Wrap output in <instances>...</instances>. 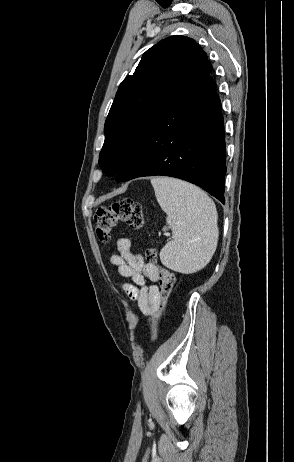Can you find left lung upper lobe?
Instances as JSON below:
<instances>
[{
  "instance_id": "obj_1",
  "label": "left lung upper lobe",
  "mask_w": 294,
  "mask_h": 462,
  "mask_svg": "<svg viewBox=\"0 0 294 462\" xmlns=\"http://www.w3.org/2000/svg\"><path fill=\"white\" fill-rule=\"evenodd\" d=\"M212 69L206 53L188 37L171 36L148 49L120 84L107 116L99 155L105 174L116 175L156 114Z\"/></svg>"
}]
</instances>
